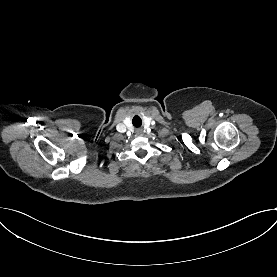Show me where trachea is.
<instances>
[{
	"label": "trachea",
	"instance_id": "trachea-1",
	"mask_svg": "<svg viewBox=\"0 0 277 277\" xmlns=\"http://www.w3.org/2000/svg\"><path fill=\"white\" fill-rule=\"evenodd\" d=\"M134 126L139 127L141 125V121H139L138 125L136 123H133Z\"/></svg>",
	"mask_w": 277,
	"mask_h": 277
}]
</instances>
